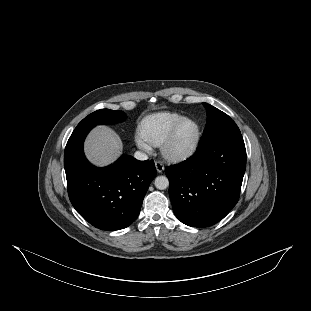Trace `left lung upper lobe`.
I'll list each match as a JSON object with an SVG mask.
<instances>
[{
    "mask_svg": "<svg viewBox=\"0 0 311 311\" xmlns=\"http://www.w3.org/2000/svg\"><path fill=\"white\" fill-rule=\"evenodd\" d=\"M203 105L207 112V123L199 145L226 133H240L235 122L227 114L207 103Z\"/></svg>",
    "mask_w": 311,
    "mask_h": 311,
    "instance_id": "1",
    "label": "left lung upper lobe"
}]
</instances>
